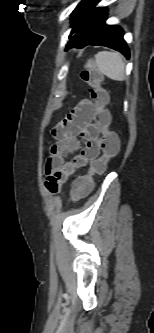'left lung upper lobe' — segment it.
<instances>
[{"mask_svg":"<svg viewBox=\"0 0 154 333\" xmlns=\"http://www.w3.org/2000/svg\"><path fill=\"white\" fill-rule=\"evenodd\" d=\"M98 0H82L75 10L72 13L71 22L73 25L72 31L69 38L72 34H75L80 27L81 21L84 16L92 9V7L97 3Z\"/></svg>","mask_w":154,"mask_h":333,"instance_id":"1","label":"left lung upper lobe"}]
</instances>
